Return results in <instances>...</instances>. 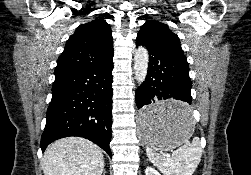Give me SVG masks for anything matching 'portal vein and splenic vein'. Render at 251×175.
<instances>
[{"instance_id":"portal-vein-and-splenic-vein-1","label":"portal vein and splenic vein","mask_w":251,"mask_h":175,"mask_svg":"<svg viewBox=\"0 0 251 175\" xmlns=\"http://www.w3.org/2000/svg\"><path fill=\"white\" fill-rule=\"evenodd\" d=\"M166 157H167V158H170V157H171V152H168V153L166 154Z\"/></svg>"}]
</instances>
